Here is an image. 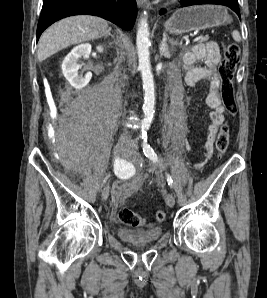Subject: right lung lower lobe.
<instances>
[{
  "label": "right lung lower lobe",
  "instance_id": "obj_1",
  "mask_svg": "<svg viewBox=\"0 0 267 298\" xmlns=\"http://www.w3.org/2000/svg\"><path fill=\"white\" fill-rule=\"evenodd\" d=\"M95 15L130 30L137 15L135 0H43L37 40L55 21L72 15Z\"/></svg>",
  "mask_w": 267,
  "mask_h": 298
}]
</instances>
